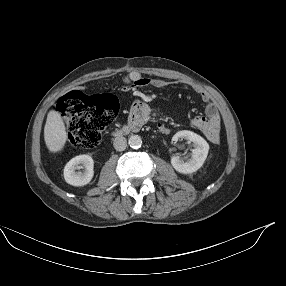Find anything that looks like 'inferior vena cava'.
<instances>
[{
    "label": "inferior vena cava",
    "mask_w": 286,
    "mask_h": 286,
    "mask_svg": "<svg viewBox=\"0 0 286 286\" xmlns=\"http://www.w3.org/2000/svg\"><path fill=\"white\" fill-rule=\"evenodd\" d=\"M113 146L117 151H123L127 147V140L123 136H118L114 139Z\"/></svg>",
    "instance_id": "1"
}]
</instances>
